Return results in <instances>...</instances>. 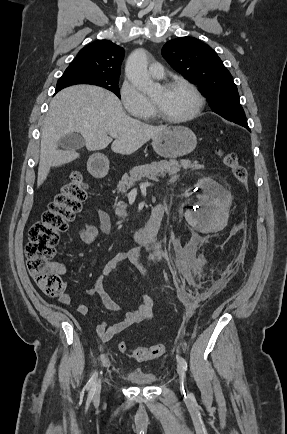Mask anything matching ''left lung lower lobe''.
Returning <instances> with one entry per match:
<instances>
[{
    "label": "left lung lower lobe",
    "instance_id": "1",
    "mask_svg": "<svg viewBox=\"0 0 287 434\" xmlns=\"http://www.w3.org/2000/svg\"><path fill=\"white\" fill-rule=\"evenodd\" d=\"M225 119L232 121L234 123H237L243 127H245L246 129H248L250 131V128L248 127V123L246 121V118L243 116H229V117H224Z\"/></svg>",
    "mask_w": 287,
    "mask_h": 434
}]
</instances>
